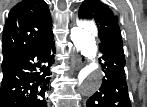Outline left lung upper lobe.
Masks as SVG:
<instances>
[{
    "label": "left lung upper lobe",
    "instance_id": "left-lung-upper-lobe-1",
    "mask_svg": "<svg viewBox=\"0 0 147 107\" xmlns=\"http://www.w3.org/2000/svg\"><path fill=\"white\" fill-rule=\"evenodd\" d=\"M80 19L94 20L101 43L113 37H121L118 20L110 8L99 0H85L79 8Z\"/></svg>",
    "mask_w": 147,
    "mask_h": 107
}]
</instances>
